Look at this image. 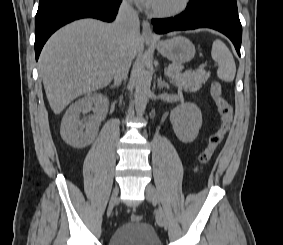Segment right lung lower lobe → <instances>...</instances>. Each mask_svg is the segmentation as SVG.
<instances>
[{"label":"right lung lower lobe","mask_w":283,"mask_h":245,"mask_svg":"<svg viewBox=\"0 0 283 245\" xmlns=\"http://www.w3.org/2000/svg\"><path fill=\"white\" fill-rule=\"evenodd\" d=\"M122 0H40L35 18L36 60L47 39L63 25L92 17L113 21Z\"/></svg>","instance_id":"98d812e1"}]
</instances>
